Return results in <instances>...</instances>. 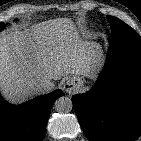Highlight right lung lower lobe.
<instances>
[{
    "mask_svg": "<svg viewBox=\"0 0 141 141\" xmlns=\"http://www.w3.org/2000/svg\"><path fill=\"white\" fill-rule=\"evenodd\" d=\"M59 89L25 104L13 106L0 96V141H41Z\"/></svg>",
    "mask_w": 141,
    "mask_h": 141,
    "instance_id": "obj_1",
    "label": "right lung lower lobe"
}]
</instances>
